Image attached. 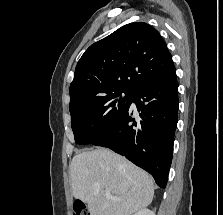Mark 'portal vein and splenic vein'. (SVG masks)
<instances>
[{"label": "portal vein and splenic vein", "mask_w": 223, "mask_h": 215, "mask_svg": "<svg viewBox=\"0 0 223 215\" xmlns=\"http://www.w3.org/2000/svg\"><path fill=\"white\" fill-rule=\"evenodd\" d=\"M105 195L108 199H121V197H115V195H111L110 189H105Z\"/></svg>", "instance_id": "18ae733b"}]
</instances>
